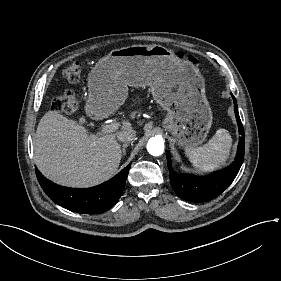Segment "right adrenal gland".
Wrapping results in <instances>:
<instances>
[{
	"instance_id": "right-adrenal-gland-1",
	"label": "right adrenal gland",
	"mask_w": 281,
	"mask_h": 281,
	"mask_svg": "<svg viewBox=\"0 0 281 281\" xmlns=\"http://www.w3.org/2000/svg\"><path fill=\"white\" fill-rule=\"evenodd\" d=\"M128 143L123 144L122 150H121V156L126 155V148L128 147Z\"/></svg>"
}]
</instances>
